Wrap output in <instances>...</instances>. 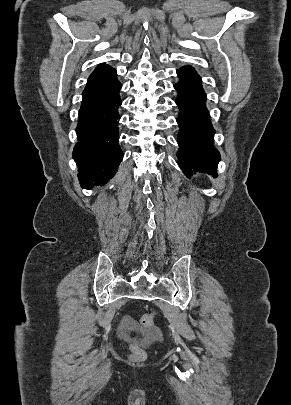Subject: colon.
<instances>
[{
  "instance_id": "1",
  "label": "colon",
  "mask_w": 291,
  "mask_h": 405,
  "mask_svg": "<svg viewBox=\"0 0 291 405\" xmlns=\"http://www.w3.org/2000/svg\"><path fill=\"white\" fill-rule=\"evenodd\" d=\"M155 323V314L154 313H146L140 319V324L144 330H150ZM132 355L131 358L134 361H141L144 360L146 357L145 352L138 346L136 342L131 345Z\"/></svg>"
}]
</instances>
